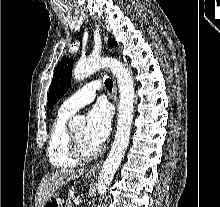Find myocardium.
I'll return each mask as SVG.
<instances>
[{
  "instance_id": "1",
  "label": "myocardium",
  "mask_w": 220,
  "mask_h": 207,
  "mask_svg": "<svg viewBox=\"0 0 220 207\" xmlns=\"http://www.w3.org/2000/svg\"><path fill=\"white\" fill-rule=\"evenodd\" d=\"M67 145L70 155L78 162L91 161L97 158L101 153V149L97 148L95 152L86 154L82 150L77 138L74 136L72 131H68Z\"/></svg>"
}]
</instances>
